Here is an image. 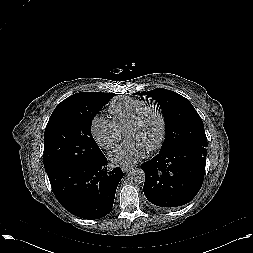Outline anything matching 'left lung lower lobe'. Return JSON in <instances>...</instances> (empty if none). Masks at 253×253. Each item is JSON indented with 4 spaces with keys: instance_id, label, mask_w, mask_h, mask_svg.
Returning a JSON list of instances; mask_svg holds the SVG:
<instances>
[{
    "instance_id": "0a47b994",
    "label": "left lung lower lobe",
    "mask_w": 253,
    "mask_h": 253,
    "mask_svg": "<svg viewBox=\"0 0 253 253\" xmlns=\"http://www.w3.org/2000/svg\"><path fill=\"white\" fill-rule=\"evenodd\" d=\"M206 156V147L187 143L160 151L144 162L143 191L149 202L162 208L190 202L202 186Z\"/></svg>"
}]
</instances>
